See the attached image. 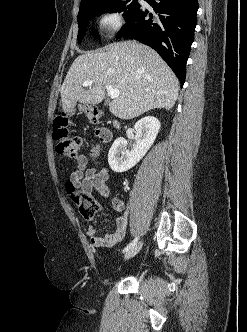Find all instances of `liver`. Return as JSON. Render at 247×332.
Masks as SVG:
<instances>
[{
  "label": "liver",
  "mask_w": 247,
  "mask_h": 332,
  "mask_svg": "<svg viewBox=\"0 0 247 332\" xmlns=\"http://www.w3.org/2000/svg\"><path fill=\"white\" fill-rule=\"evenodd\" d=\"M88 80L92 85L82 88ZM107 85L120 91L109 110L123 120L155 108L170 110L179 90L177 77L154 50L137 41L116 42L74 60L60 87L63 112L73 110L77 102L99 104Z\"/></svg>",
  "instance_id": "obj_1"
}]
</instances>
